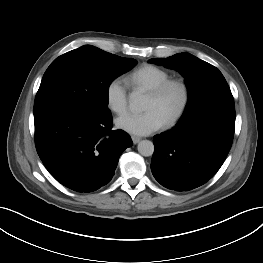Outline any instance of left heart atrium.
I'll return each instance as SVG.
<instances>
[{"mask_svg": "<svg viewBox=\"0 0 263 263\" xmlns=\"http://www.w3.org/2000/svg\"><path fill=\"white\" fill-rule=\"evenodd\" d=\"M164 125V120L154 109L141 113H126L116 119V126L130 134L137 136L148 135Z\"/></svg>", "mask_w": 263, "mask_h": 263, "instance_id": "39dd6f15", "label": "left heart atrium"}]
</instances>
